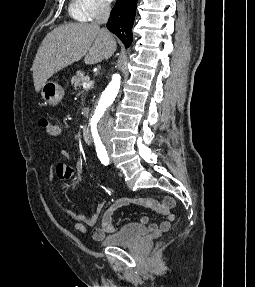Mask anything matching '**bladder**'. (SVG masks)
I'll use <instances>...</instances> for the list:
<instances>
[{
	"label": "bladder",
	"instance_id": "bladder-1",
	"mask_svg": "<svg viewBox=\"0 0 255 287\" xmlns=\"http://www.w3.org/2000/svg\"><path fill=\"white\" fill-rule=\"evenodd\" d=\"M148 232V228L137 223H127L107 234L101 243L106 246L128 245L136 242Z\"/></svg>",
	"mask_w": 255,
	"mask_h": 287
}]
</instances>
